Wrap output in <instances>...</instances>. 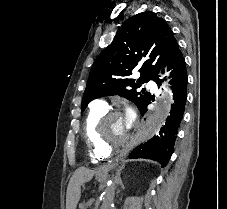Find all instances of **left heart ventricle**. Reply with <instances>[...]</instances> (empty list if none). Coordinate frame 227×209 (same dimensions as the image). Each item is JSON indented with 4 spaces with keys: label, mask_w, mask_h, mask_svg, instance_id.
<instances>
[{
    "label": "left heart ventricle",
    "mask_w": 227,
    "mask_h": 209,
    "mask_svg": "<svg viewBox=\"0 0 227 209\" xmlns=\"http://www.w3.org/2000/svg\"><path fill=\"white\" fill-rule=\"evenodd\" d=\"M130 136V128L122 116L110 119L104 127V137L110 143L123 141Z\"/></svg>",
    "instance_id": "left-heart-ventricle-1"
}]
</instances>
